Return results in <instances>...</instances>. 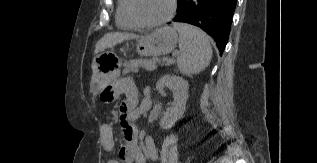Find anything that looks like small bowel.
Segmentation results:
<instances>
[{
  "label": "small bowel",
  "mask_w": 317,
  "mask_h": 163,
  "mask_svg": "<svg viewBox=\"0 0 317 163\" xmlns=\"http://www.w3.org/2000/svg\"><path fill=\"white\" fill-rule=\"evenodd\" d=\"M114 94L123 96L120 105V125L124 144L118 148L120 159L123 163H147L148 160H157L158 153L153 139L144 133H139L135 125L136 120L146 111V106L140 103L138 87L131 79H123L118 83ZM140 140H143L144 146L140 145ZM114 146L112 127L105 124L101 134V147L106 152H112ZM107 163H120V161L112 158Z\"/></svg>",
  "instance_id": "small-bowel-1"
}]
</instances>
